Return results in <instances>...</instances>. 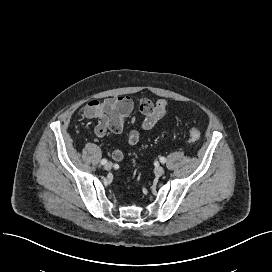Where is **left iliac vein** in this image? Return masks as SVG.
Returning <instances> with one entry per match:
<instances>
[{"label":"left iliac vein","mask_w":272,"mask_h":272,"mask_svg":"<svg viewBox=\"0 0 272 272\" xmlns=\"http://www.w3.org/2000/svg\"><path fill=\"white\" fill-rule=\"evenodd\" d=\"M155 174L157 176H162L164 174V168L161 166H156L155 167Z\"/></svg>","instance_id":"obj_1"}]
</instances>
